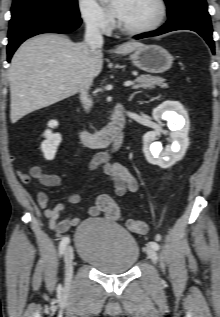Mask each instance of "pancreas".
Masks as SVG:
<instances>
[{"mask_svg": "<svg viewBox=\"0 0 220 317\" xmlns=\"http://www.w3.org/2000/svg\"><path fill=\"white\" fill-rule=\"evenodd\" d=\"M166 85L165 79L158 76L151 75H140L135 79V85L133 88H144V89H154L155 86H164Z\"/></svg>", "mask_w": 220, "mask_h": 317, "instance_id": "pancreas-1", "label": "pancreas"}]
</instances>
